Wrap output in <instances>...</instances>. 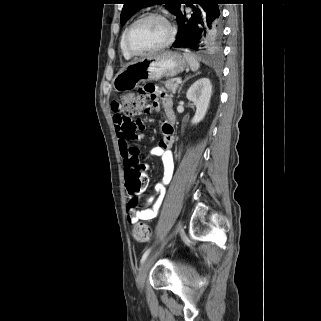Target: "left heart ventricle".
Here are the masks:
<instances>
[{
    "mask_svg": "<svg viewBox=\"0 0 321 321\" xmlns=\"http://www.w3.org/2000/svg\"><path fill=\"white\" fill-rule=\"evenodd\" d=\"M167 36L168 30L163 21L148 18L139 22L131 30L128 44L133 51L142 52L160 45Z\"/></svg>",
    "mask_w": 321,
    "mask_h": 321,
    "instance_id": "b2bd125f",
    "label": "left heart ventricle"
}]
</instances>
